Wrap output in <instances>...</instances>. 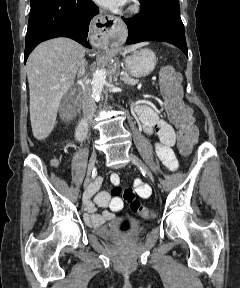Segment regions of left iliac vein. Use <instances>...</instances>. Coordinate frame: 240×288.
I'll use <instances>...</instances> for the list:
<instances>
[{"mask_svg": "<svg viewBox=\"0 0 240 288\" xmlns=\"http://www.w3.org/2000/svg\"><path fill=\"white\" fill-rule=\"evenodd\" d=\"M130 161L136 165L137 167L141 168V170L150 178L152 182H154V177L149 170V168L143 163L141 159H139L136 155L130 153L129 154Z\"/></svg>", "mask_w": 240, "mask_h": 288, "instance_id": "1", "label": "left iliac vein"}]
</instances>
